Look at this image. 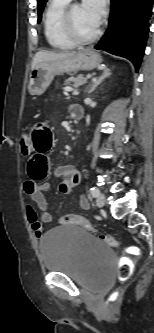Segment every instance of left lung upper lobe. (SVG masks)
<instances>
[{
  "label": "left lung upper lobe",
  "mask_w": 154,
  "mask_h": 333,
  "mask_svg": "<svg viewBox=\"0 0 154 333\" xmlns=\"http://www.w3.org/2000/svg\"><path fill=\"white\" fill-rule=\"evenodd\" d=\"M37 2H38V22H40L42 11L44 9L47 0H37Z\"/></svg>",
  "instance_id": "obj_1"
}]
</instances>
